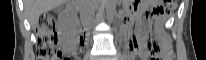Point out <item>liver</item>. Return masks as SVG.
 Segmentation results:
<instances>
[{"mask_svg": "<svg viewBox=\"0 0 206 60\" xmlns=\"http://www.w3.org/2000/svg\"><path fill=\"white\" fill-rule=\"evenodd\" d=\"M64 2L65 0H25V10L31 27H36L42 13L59 7Z\"/></svg>", "mask_w": 206, "mask_h": 60, "instance_id": "1", "label": "liver"}]
</instances>
